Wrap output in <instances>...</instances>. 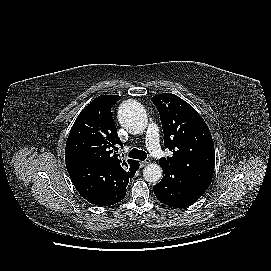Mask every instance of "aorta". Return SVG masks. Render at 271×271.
Returning a JSON list of instances; mask_svg holds the SVG:
<instances>
[{
    "instance_id": "aorta-1",
    "label": "aorta",
    "mask_w": 271,
    "mask_h": 271,
    "mask_svg": "<svg viewBox=\"0 0 271 271\" xmlns=\"http://www.w3.org/2000/svg\"><path fill=\"white\" fill-rule=\"evenodd\" d=\"M118 120L132 134H141L147 127V114L136 101H124L119 106ZM161 176L162 168L158 164H148L143 170V177L147 182L155 183Z\"/></svg>"
}]
</instances>
